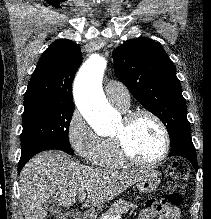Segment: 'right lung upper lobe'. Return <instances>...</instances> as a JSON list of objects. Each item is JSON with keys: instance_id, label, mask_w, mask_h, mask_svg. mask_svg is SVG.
<instances>
[{"instance_id": "1", "label": "right lung upper lobe", "mask_w": 211, "mask_h": 219, "mask_svg": "<svg viewBox=\"0 0 211 219\" xmlns=\"http://www.w3.org/2000/svg\"><path fill=\"white\" fill-rule=\"evenodd\" d=\"M82 62L79 45L68 39L53 42L41 55L25 93L24 102L49 100L74 105L72 82Z\"/></svg>"}]
</instances>
